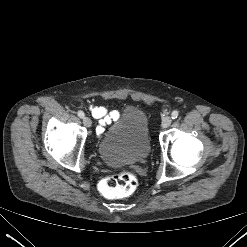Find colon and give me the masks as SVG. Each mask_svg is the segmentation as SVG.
Here are the masks:
<instances>
[{
  "instance_id": "1",
  "label": "colon",
  "mask_w": 247,
  "mask_h": 247,
  "mask_svg": "<svg viewBox=\"0 0 247 247\" xmlns=\"http://www.w3.org/2000/svg\"><path fill=\"white\" fill-rule=\"evenodd\" d=\"M138 185L135 174L124 171L105 178L100 185L102 193L108 198L125 197L134 192Z\"/></svg>"
}]
</instances>
